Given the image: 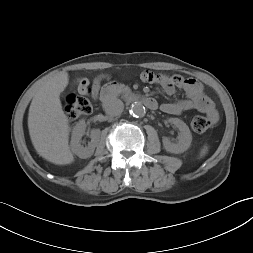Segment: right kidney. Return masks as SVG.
Listing matches in <instances>:
<instances>
[{"mask_svg": "<svg viewBox=\"0 0 253 253\" xmlns=\"http://www.w3.org/2000/svg\"><path fill=\"white\" fill-rule=\"evenodd\" d=\"M86 131V124L85 121L78 122L72 131L71 137V150L74 154L79 156L82 159L89 158L93 155L96 146L98 145L100 139L101 131L99 129L91 130L90 137L91 141L88 146L84 147L81 145V138L85 134Z\"/></svg>", "mask_w": 253, "mask_h": 253, "instance_id": "ca27d5eb", "label": "right kidney"}]
</instances>
